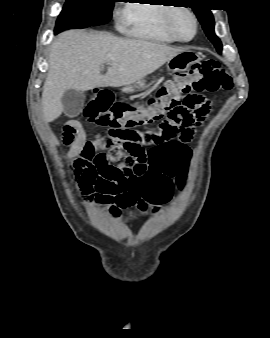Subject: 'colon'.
I'll return each instance as SVG.
<instances>
[{
  "label": "colon",
  "mask_w": 270,
  "mask_h": 338,
  "mask_svg": "<svg viewBox=\"0 0 270 338\" xmlns=\"http://www.w3.org/2000/svg\"><path fill=\"white\" fill-rule=\"evenodd\" d=\"M232 87L231 77L225 67L215 60H206L201 64H193L188 72L177 73L171 80L161 84L144 107L114 102L108 91L100 90L86 102L83 117L90 123L107 128L108 136L155 145V153L164 158L177 153L189 141L192 127L200 125L206 118L209 107L201 95L230 90ZM164 117L171 122L162 123L147 133L135 130L136 127ZM174 137V142L158 148L159 144ZM71 172L77 179L80 169L72 165ZM155 179L153 170L146 166L144 155L137 157L132 152L126 164L106 174L101 189L118 209L144 211L146 204L142 194L148 191V185Z\"/></svg>",
  "instance_id": "5ec220e1"
}]
</instances>
